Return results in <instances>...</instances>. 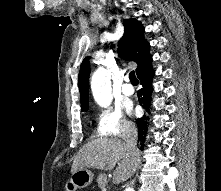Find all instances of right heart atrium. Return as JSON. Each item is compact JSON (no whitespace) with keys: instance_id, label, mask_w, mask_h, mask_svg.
I'll use <instances>...</instances> for the list:
<instances>
[{"instance_id":"1","label":"right heart atrium","mask_w":221,"mask_h":191,"mask_svg":"<svg viewBox=\"0 0 221 191\" xmlns=\"http://www.w3.org/2000/svg\"><path fill=\"white\" fill-rule=\"evenodd\" d=\"M133 131V124L116 108L100 110L95 118L94 134L98 137H124Z\"/></svg>"}]
</instances>
